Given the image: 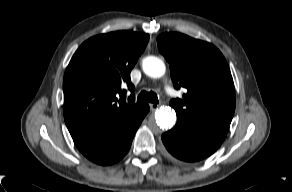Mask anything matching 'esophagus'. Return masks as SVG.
Listing matches in <instances>:
<instances>
[{
	"label": "esophagus",
	"mask_w": 292,
	"mask_h": 192,
	"mask_svg": "<svg viewBox=\"0 0 292 192\" xmlns=\"http://www.w3.org/2000/svg\"><path fill=\"white\" fill-rule=\"evenodd\" d=\"M159 107V104H156V103H151L150 104V110L153 112L155 111L156 109H158Z\"/></svg>",
	"instance_id": "esophagus-1"
}]
</instances>
